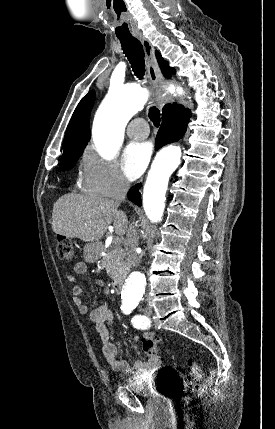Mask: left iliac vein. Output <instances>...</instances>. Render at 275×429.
I'll use <instances>...</instances> for the list:
<instances>
[{"label": "left iliac vein", "instance_id": "obj_1", "mask_svg": "<svg viewBox=\"0 0 275 429\" xmlns=\"http://www.w3.org/2000/svg\"><path fill=\"white\" fill-rule=\"evenodd\" d=\"M144 314H145L147 317H150V316L152 315V308H151V307H149V306H146V307L144 308Z\"/></svg>", "mask_w": 275, "mask_h": 429}]
</instances>
